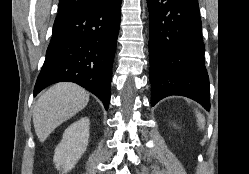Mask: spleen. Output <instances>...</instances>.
<instances>
[{
    "label": "spleen",
    "mask_w": 249,
    "mask_h": 174,
    "mask_svg": "<svg viewBox=\"0 0 249 174\" xmlns=\"http://www.w3.org/2000/svg\"><path fill=\"white\" fill-rule=\"evenodd\" d=\"M196 117H197L198 126L201 129H204V126H205V117L200 112H198V111H196Z\"/></svg>",
    "instance_id": "spleen-1"
}]
</instances>
